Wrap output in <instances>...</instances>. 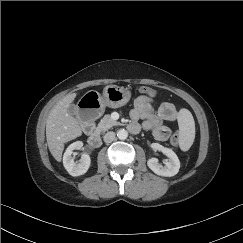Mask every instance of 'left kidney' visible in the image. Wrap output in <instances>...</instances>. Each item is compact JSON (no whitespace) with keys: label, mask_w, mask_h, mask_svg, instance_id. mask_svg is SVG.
<instances>
[{"label":"left kidney","mask_w":243,"mask_h":243,"mask_svg":"<svg viewBox=\"0 0 243 243\" xmlns=\"http://www.w3.org/2000/svg\"><path fill=\"white\" fill-rule=\"evenodd\" d=\"M151 147L154 150L161 151L168 157V161L166 162L165 167H162L158 163L157 158H151L148 160L147 165L148 167L157 175L164 176V177H171L176 175L180 169V161L176 155V153L171 150L170 148L163 147L158 143H153Z\"/></svg>","instance_id":"obj_1"}]
</instances>
